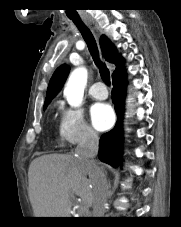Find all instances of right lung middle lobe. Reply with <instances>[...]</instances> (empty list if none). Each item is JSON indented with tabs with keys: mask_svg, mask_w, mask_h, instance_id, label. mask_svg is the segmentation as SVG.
Wrapping results in <instances>:
<instances>
[{
	"mask_svg": "<svg viewBox=\"0 0 181 227\" xmlns=\"http://www.w3.org/2000/svg\"><path fill=\"white\" fill-rule=\"evenodd\" d=\"M48 104H49V103H45V104H44V109L48 106Z\"/></svg>",
	"mask_w": 181,
	"mask_h": 227,
	"instance_id": "obj_1",
	"label": "right lung middle lobe"
}]
</instances>
